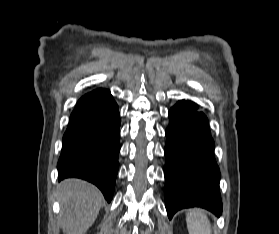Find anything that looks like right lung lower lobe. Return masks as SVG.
I'll return each mask as SVG.
<instances>
[{"label": "right lung lower lobe", "mask_w": 279, "mask_h": 234, "mask_svg": "<svg viewBox=\"0 0 279 234\" xmlns=\"http://www.w3.org/2000/svg\"><path fill=\"white\" fill-rule=\"evenodd\" d=\"M120 117L109 90L96 89L77 102L63 136L58 178L95 184L111 202L118 173Z\"/></svg>", "instance_id": "98d812e1"}]
</instances>
